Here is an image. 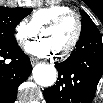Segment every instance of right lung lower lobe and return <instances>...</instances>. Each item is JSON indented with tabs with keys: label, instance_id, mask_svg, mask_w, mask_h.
<instances>
[{
	"label": "right lung lower lobe",
	"instance_id": "98d812e1",
	"mask_svg": "<svg viewBox=\"0 0 103 103\" xmlns=\"http://www.w3.org/2000/svg\"><path fill=\"white\" fill-rule=\"evenodd\" d=\"M30 59L18 44L0 43V103H13L18 86L30 75Z\"/></svg>",
	"mask_w": 103,
	"mask_h": 103
}]
</instances>
